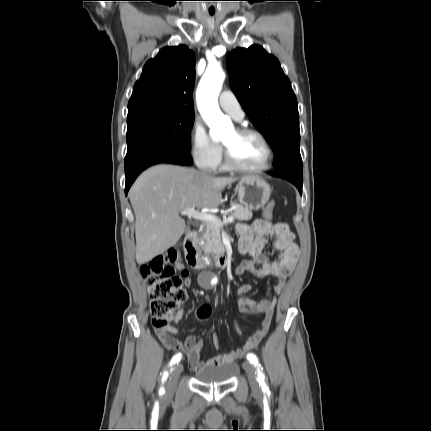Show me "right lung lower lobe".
<instances>
[{
	"mask_svg": "<svg viewBox=\"0 0 431 431\" xmlns=\"http://www.w3.org/2000/svg\"><path fill=\"white\" fill-rule=\"evenodd\" d=\"M190 153L162 139H148L128 148L125 157V193L136 177L146 168L158 163L191 165Z\"/></svg>",
	"mask_w": 431,
	"mask_h": 431,
	"instance_id": "1",
	"label": "right lung lower lobe"
}]
</instances>
